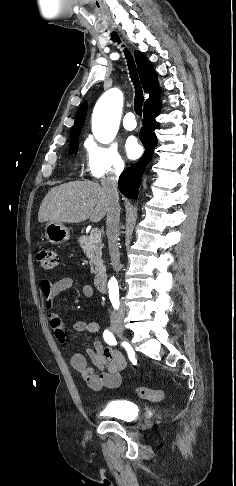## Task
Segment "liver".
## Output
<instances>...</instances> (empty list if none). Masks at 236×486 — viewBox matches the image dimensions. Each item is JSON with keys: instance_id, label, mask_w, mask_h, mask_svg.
<instances>
[{"instance_id": "1", "label": "liver", "mask_w": 236, "mask_h": 486, "mask_svg": "<svg viewBox=\"0 0 236 486\" xmlns=\"http://www.w3.org/2000/svg\"><path fill=\"white\" fill-rule=\"evenodd\" d=\"M109 196L98 183L73 181L50 189L39 212L40 223H81L87 219L99 222L107 213Z\"/></svg>"}]
</instances>
